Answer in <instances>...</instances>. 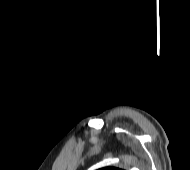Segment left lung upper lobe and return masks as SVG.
Listing matches in <instances>:
<instances>
[{
	"label": "left lung upper lobe",
	"instance_id": "left-lung-upper-lobe-1",
	"mask_svg": "<svg viewBox=\"0 0 190 170\" xmlns=\"http://www.w3.org/2000/svg\"><path fill=\"white\" fill-rule=\"evenodd\" d=\"M99 170H122V169L116 168V167H105V168H101Z\"/></svg>",
	"mask_w": 190,
	"mask_h": 170
}]
</instances>
